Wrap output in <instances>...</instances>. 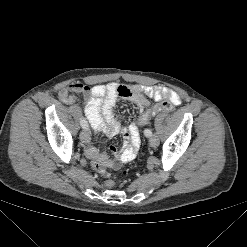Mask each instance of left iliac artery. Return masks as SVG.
<instances>
[{
    "label": "left iliac artery",
    "instance_id": "left-iliac-artery-1",
    "mask_svg": "<svg viewBox=\"0 0 247 247\" xmlns=\"http://www.w3.org/2000/svg\"><path fill=\"white\" fill-rule=\"evenodd\" d=\"M144 135H145L146 137H150V136H152V132H151V130H149V129H145V130H144Z\"/></svg>",
    "mask_w": 247,
    "mask_h": 247
}]
</instances>
